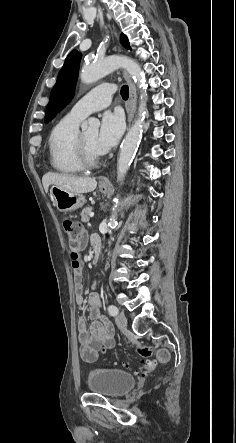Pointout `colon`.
I'll use <instances>...</instances> for the list:
<instances>
[{"label":"colon","instance_id":"colon-1","mask_svg":"<svg viewBox=\"0 0 236 443\" xmlns=\"http://www.w3.org/2000/svg\"><path fill=\"white\" fill-rule=\"evenodd\" d=\"M63 229L68 237L69 245L72 250L71 265L77 275L81 272L82 266L79 261L77 248L83 236L82 225L74 218L66 217L62 220ZM138 353L144 358L143 371H150L153 367V362L149 360L150 357H155L159 362L168 363L170 361V354L165 349L155 350L153 347L141 345L138 347ZM87 359H92L88 353L84 354ZM83 358V357H82ZM84 359V358H83Z\"/></svg>","mask_w":236,"mask_h":443}]
</instances>
